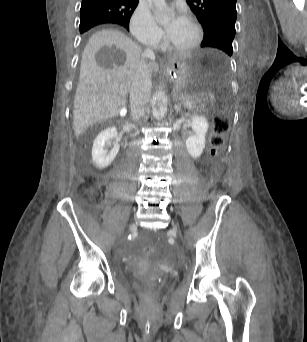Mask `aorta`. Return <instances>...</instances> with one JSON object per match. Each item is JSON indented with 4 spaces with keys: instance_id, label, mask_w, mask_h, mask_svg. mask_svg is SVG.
Instances as JSON below:
<instances>
[{
    "instance_id": "762f6f07",
    "label": "aorta",
    "mask_w": 307,
    "mask_h": 342,
    "mask_svg": "<svg viewBox=\"0 0 307 342\" xmlns=\"http://www.w3.org/2000/svg\"><path fill=\"white\" fill-rule=\"evenodd\" d=\"M151 2L155 6V14L160 16V24H163V26L169 24L170 20L174 18V12H169L165 0H151ZM152 108L154 118H157V120L165 118L168 108V98L165 92H161V90L155 92L152 98Z\"/></svg>"
}]
</instances>
